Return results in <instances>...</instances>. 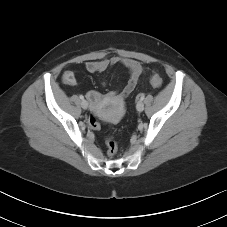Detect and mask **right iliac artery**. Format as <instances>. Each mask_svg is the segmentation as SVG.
<instances>
[{
    "label": "right iliac artery",
    "instance_id": "82829eb1",
    "mask_svg": "<svg viewBox=\"0 0 227 227\" xmlns=\"http://www.w3.org/2000/svg\"><path fill=\"white\" fill-rule=\"evenodd\" d=\"M79 98H80L81 100H84V96H83V95H80Z\"/></svg>",
    "mask_w": 227,
    "mask_h": 227
}]
</instances>
